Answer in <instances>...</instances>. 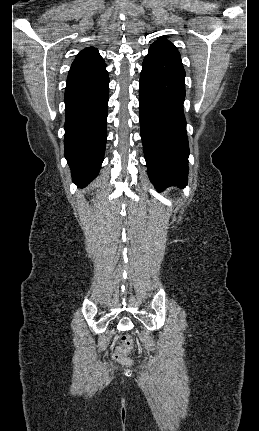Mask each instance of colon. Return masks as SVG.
Masks as SVG:
<instances>
[{
	"instance_id": "5ec220e1",
	"label": "colon",
	"mask_w": 259,
	"mask_h": 431,
	"mask_svg": "<svg viewBox=\"0 0 259 431\" xmlns=\"http://www.w3.org/2000/svg\"><path fill=\"white\" fill-rule=\"evenodd\" d=\"M133 345V338L129 334H123L121 336V344L114 353V358L122 364H130L131 360L128 358Z\"/></svg>"
}]
</instances>
